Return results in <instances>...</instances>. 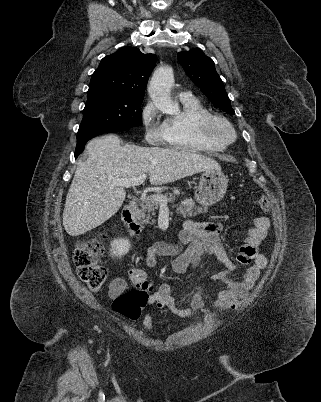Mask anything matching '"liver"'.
Segmentation results:
<instances>
[{"instance_id": "6515ba94", "label": "liver", "mask_w": 321, "mask_h": 402, "mask_svg": "<svg viewBox=\"0 0 321 402\" xmlns=\"http://www.w3.org/2000/svg\"><path fill=\"white\" fill-rule=\"evenodd\" d=\"M87 152L85 162L77 161L63 211V226L70 236L100 226L120 209L126 191L112 185V179L149 173L151 185H163L205 170H221L214 159L185 149L121 146L114 134L93 139Z\"/></svg>"}]
</instances>
